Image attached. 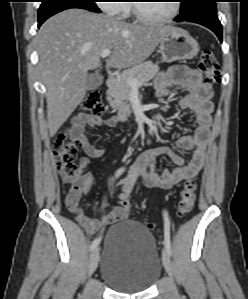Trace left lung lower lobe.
<instances>
[{"label":"left lung lower lobe","mask_w":248,"mask_h":299,"mask_svg":"<svg viewBox=\"0 0 248 299\" xmlns=\"http://www.w3.org/2000/svg\"><path fill=\"white\" fill-rule=\"evenodd\" d=\"M175 21H188L193 23L201 24L210 30H212L219 38V40L222 42V25L217 17L216 13H205L196 15L192 18H182L180 16L175 18Z\"/></svg>","instance_id":"1"}]
</instances>
